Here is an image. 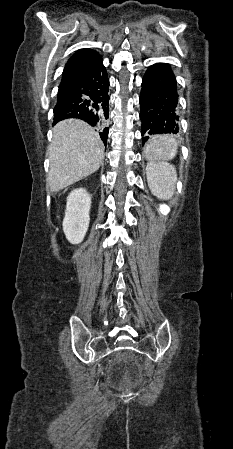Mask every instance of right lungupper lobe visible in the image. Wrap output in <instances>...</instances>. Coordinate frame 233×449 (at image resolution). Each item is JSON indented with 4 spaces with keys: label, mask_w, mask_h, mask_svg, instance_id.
Instances as JSON below:
<instances>
[{
    "label": "right lung upper lobe",
    "mask_w": 233,
    "mask_h": 449,
    "mask_svg": "<svg viewBox=\"0 0 233 449\" xmlns=\"http://www.w3.org/2000/svg\"><path fill=\"white\" fill-rule=\"evenodd\" d=\"M100 61H102L100 54L93 49L85 48L76 51L66 63L60 85L82 77Z\"/></svg>",
    "instance_id": "1"
}]
</instances>
